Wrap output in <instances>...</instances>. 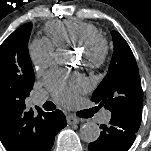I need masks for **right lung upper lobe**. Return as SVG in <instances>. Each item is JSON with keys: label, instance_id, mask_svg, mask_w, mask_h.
Listing matches in <instances>:
<instances>
[{"label": "right lung upper lobe", "instance_id": "1", "mask_svg": "<svg viewBox=\"0 0 151 151\" xmlns=\"http://www.w3.org/2000/svg\"><path fill=\"white\" fill-rule=\"evenodd\" d=\"M27 94H0V140L7 151H44L47 145L46 112L26 108Z\"/></svg>", "mask_w": 151, "mask_h": 151}]
</instances>
